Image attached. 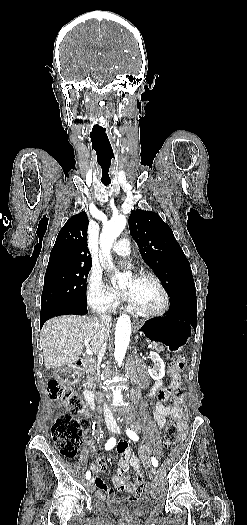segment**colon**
Returning <instances> with one entry per match:
<instances>
[{
	"instance_id": "1",
	"label": "colon",
	"mask_w": 247,
	"mask_h": 525,
	"mask_svg": "<svg viewBox=\"0 0 247 525\" xmlns=\"http://www.w3.org/2000/svg\"><path fill=\"white\" fill-rule=\"evenodd\" d=\"M185 355L178 353L175 356V367L168 369L170 376H176L185 371ZM49 394L53 399L60 400L68 409L67 413L55 419L52 438L62 457L74 458L80 448L84 432L89 427L87 406L82 397L74 389L62 386L56 380L48 383ZM178 440L177 425L174 420H168L164 433V443L167 447L173 446ZM140 482L139 496L144 491V475L138 474Z\"/></svg>"
}]
</instances>
